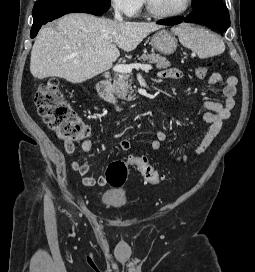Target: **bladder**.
Returning a JSON list of instances; mask_svg holds the SVG:
<instances>
[{
  "label": "bladder",
  "mask_w": 255,
  "mask_h": 272,
  "mask_svg": "<svg viewBox=\"0 0 255 272\" xmlns=\"http://www.w3.org/2000/svg\"><path fill=\"white\" fill-rule=\"evenodd\" d=\"M128 199L127 191L124 189H107L101 193L100 200L104 205L120 207Z\"/></svg>",
  "instance_id": "obj_1"
}]
</instances>
